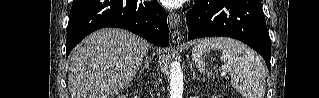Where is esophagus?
I'll use <instances>...</instances> for the list:
<instances>
[{"instance_id":"obj_1","label":"esophagus","mask_w":319,"mask_h":98,"mask_svg":"<svg viewBox=\"0 0 319 98\" xmlns=\"http://www.w3.org/2000/svg\"><path fill=\"white\" fill-rule=\"evenodd\" d=\"M168 24L172 30L171 39L173 43H179L182 38V32L179 30L180 16L175 12H169Z\"/></svg>"}]
</instances>
